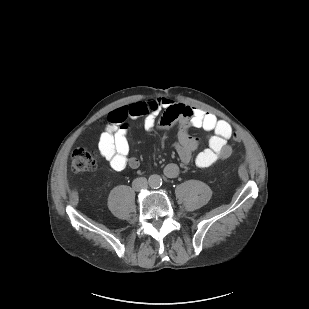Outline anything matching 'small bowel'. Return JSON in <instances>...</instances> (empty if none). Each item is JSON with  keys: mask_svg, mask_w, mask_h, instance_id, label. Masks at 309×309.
<instances>
[{"mask_svg": "<svg viewBox=\"0 0 309 309\" xmlns=\"http://www.w3.org/2000/svg\"><path fill=\"white\" fill-rule=\"evenodd\" d=\"M159 113L162 115L160 119H157ZM138 117L144 118V127L148 131L163 128L172 122L179 123L176 151L183 165L194 162L199 168H207L218 160L227 159L232 153L228 141L233 130L228 122L200 108L159 97L118 107L109 114L106 127L100 135L98 147L102 157L115 171H121L127 167L134 169L139 166V160L130 155L126 127L129 119ZM190 126L212 132L208 139V147L195 157H193V152L198 146V141L189 134ZM179 171L176 164H168L164 169L168 178L177 177Z\"/></svg>", "mask_w": 309, "mask_h": 309, "instance_id": "c3829d8e", "label": "small bowel"}]
</instances>
